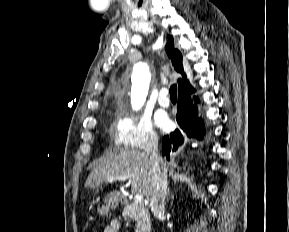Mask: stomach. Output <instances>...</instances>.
<instances>
[{"instance_id":"obj_1","label":"stomach","mask_w":289,"mask_h":232,"mask_svg":"<svg viewBox=\"0 0 289 232\" xmlns=\"http://www.w3.org/2000/svg\"><path fill=\"white\" fill-rule=\"evenodd\" d=\"M119 196L116 193H111L106 196L104 205L98 210L99 214L104 216L108 215L110 209L115 208L118 205Z\"/></svg>"}]
</instances>
